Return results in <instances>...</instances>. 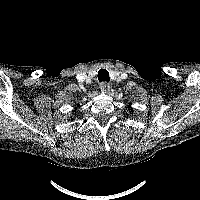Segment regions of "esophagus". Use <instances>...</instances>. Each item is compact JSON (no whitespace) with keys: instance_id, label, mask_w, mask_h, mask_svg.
I'll return each mask as SVG.
<instances>
[{"instance_id":"34e87169","label":"esophagus","mask_w":200,"mask_h":200,"mask_svg":"<svg viewBox=\"0 0 200 200\" xmlns=\"http://www.w3.org/2000/svg\"><path fill=\"white\" fill-rule=\"evenodd\" d=\"M99 88L102 93H109V91H110V85L107 82L100 83Z\"/></svg>"}]
</instances>
